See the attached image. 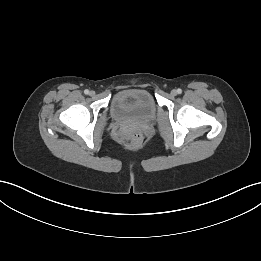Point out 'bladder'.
Instances as JSON below:
<instances>
[{
    "label": "bladder",
    "mask_w": 261,
    "mask_h": 261,
    "mask_svg": "<svg viewBox=\"0 0 261 261\" xmlns=\"http://www.w3.org/2000/svg\"><path fill=\"white\" fill-rule=\"evenodd\" d=\"M111 116L118 122H150L156 115V104L146 89H126L117 92L110 105Z\"/></svg>",
    "instance_id": "1"
}]
</instances>
